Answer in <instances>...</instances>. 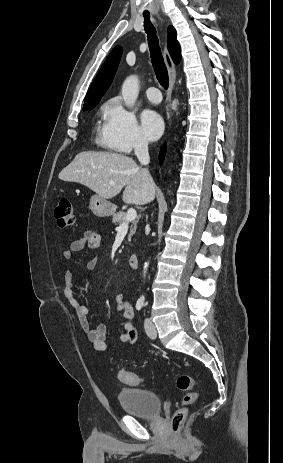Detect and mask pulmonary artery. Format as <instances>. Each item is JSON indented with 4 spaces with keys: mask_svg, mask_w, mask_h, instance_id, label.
<instances>
[{
    "mask_svg": "<svg viewBox=\"0 0 283 463\" xmlns=\"http://www.w3.org/2000/svg\"><path fill=\"white\" fill-rule=\"evenodd\" d=\"M146 97L152 103H159L162 99L161 93L156 87H149L145 91Z\"/></svg>",
    "mask_w": 283,
    "mask_h": 463,
    "instance_id": "pulmonary-artery-1",
    "label": "pulmonary artery"
}]
</instances>
